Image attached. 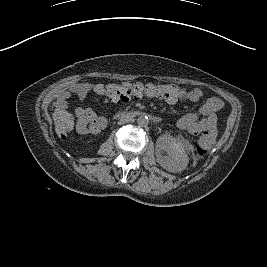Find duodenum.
Returning <instances> with one entry per match:
<instances>
[{"mask_svg":"<svg viewBox=\"0 0 267 267\" xmlns=\"http://www.w3.org/2000/svg\"><path fill=\"white\" fill-rule=\"evenodd\" d=\"M128 115L130 117L135 118V117H138V116L142 115V113L139 112V111H132V112H129ZM152 121L155 122V123H158L160 121V118L158 116L152 117Z\"/></svg>","mask_w":267,"mask_h":267,"instance_id":"obj_1","label":"duodenum"}]
</instances>
